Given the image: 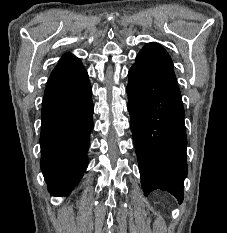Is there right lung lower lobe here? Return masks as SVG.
I'll use <instances>...</instances> for the list:
<instances>
[{
  "mask_svg": "<svg viewBox=\"0 0 227 233\" xmlns=\"http://www.w3.org/2000/svg\"><path fill=\"white\" fill-rule=\"evenodd\" d=\"M92 115L89 79L42 105L40 167L53 196L69 195L87 168Z\"/></svg>",
  "mask_w": 227,
  "mask_h": 233,
  "instance_id": "1",
  "label": "right lung lower lobe"
}]
</instances>
